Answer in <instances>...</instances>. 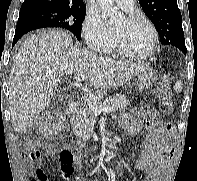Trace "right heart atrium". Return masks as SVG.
<instances>
[{
	"label": "right heart atrium",
	"mask_w": 197,
	"mask_h": 181,
	"mask_svg": "<svg viewBox=\"0 0 197 181\" xmlns=\"http://www.w3.org/2000/svg\"><path fill=\"white\" fill-rule=\"evenodd\" d=\"M82 37L94 52L102 53L108 51L113 44V34L106 28L100 15L90 10L87 12L82 24Z\"/></svg>",
	"instance_id": "obj_1"
}]
</instances>
